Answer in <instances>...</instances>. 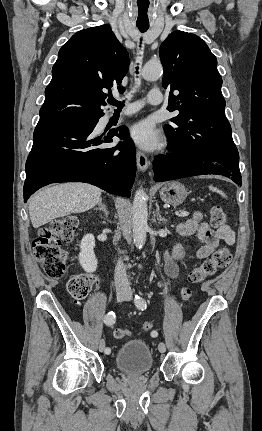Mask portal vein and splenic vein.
I'll use <instances>...</instances> for the list:
<instances>
[{
  "label": "portal vein and splenic vein",
  "mask_w": 262,
  "mask_h": 431,
  "mask_svg": "<svg viewBox=\"0 0 262 431\" xmlns=\"http://www.w3.org/2000/svg\"><path fill=\"white\" fill-rule=\"evenodd\" d=\"M189 215V212L183 211L179 214L180 217H186Z\"/></svg>",
  "instance_id": "1"
}]
</instances>
